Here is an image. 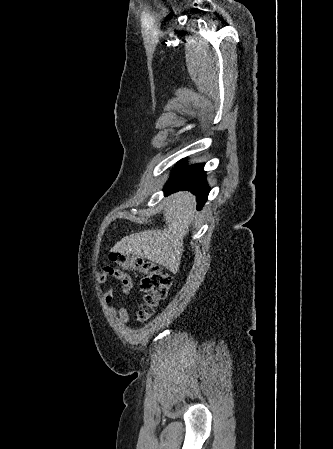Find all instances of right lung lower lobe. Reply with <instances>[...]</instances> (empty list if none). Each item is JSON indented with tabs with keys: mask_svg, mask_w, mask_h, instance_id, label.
<instances>
[{
	"mask_svg": "<svg viewBox=\"0 0 333 449\" xmlns=\"http://www.w3.org/2000/svg\"><path fill=\"white\" fill-rule=\"evenodd\" d=\"M181 162L184 163V160ZM203 168L204 164L191 165L185 168L177 165L164 187L165 194L189 190L196 194L197 208L201 209L207 201L210 191L209 186L206 185V173Z\"/></svg>",
	"mask_w": 333,
	"mask_h": 449,
	"instance_id": "98d812e1",
	"label": "right lung lower lobe"
}]
</instances>
